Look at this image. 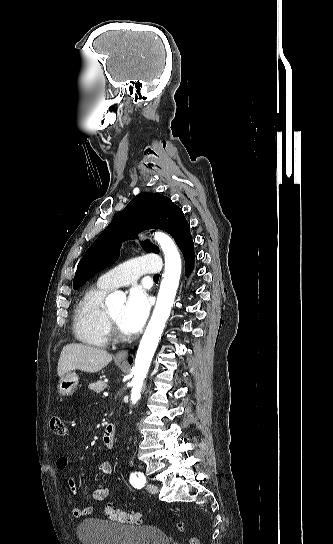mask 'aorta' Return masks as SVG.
<instances>
[{"mask_svg":"<svg viewBox=\"0 0 333 544\" xmlns=\"http://www.w3.org/2000/svg\"><path fill=\"white\" fill-rule=\"evenodd\" d=\"M154 238L163 250L165 270L152 317L139 344L135 364L132 368L134 374L131 391L132 404H135L140 398L144 379L174 303L181 274V258L173 240L161 232L155 233ZM125 300V294L116 291L106 298V304L112 307Z\"/></svg>","mask_w":333,"mask_h":544,"instance_id":"1","label":"aorta"}]
</instances>
